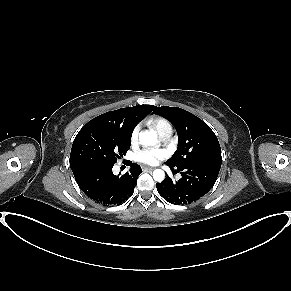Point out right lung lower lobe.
<instances>
[{
    "instance_id": "1",
    "label": "right lung lower lobe",
    "mask_w": 291,
    "mask_h": 291,
    "mask_svg": "<svg viewBox=\"0 0 291 291\" xmlns=\"http://www.w3.org/2000/svg\"><path fill=\"white\" fill-rule=\"evenodd\" d=\"M130 166V171L121 177L113 174V165L90 166L73 174L78 186L88 197L105 206H114L132 196L142 172L138 164L132 163Z\"/></svg>"
}]
</instances>
